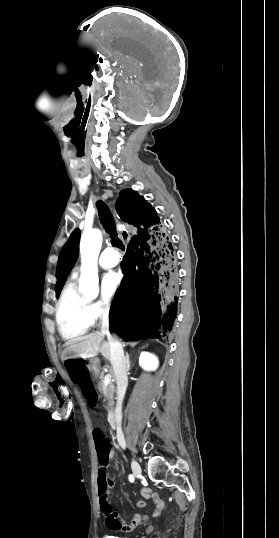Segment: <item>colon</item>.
Wrapping results in <instances>:
<instances>
[{"instance_id":"1","label":"colon","mask_w":279,"mask_h":538,"mask_svg":"<svg viewBox=\"0 0 279 538\" xmlns=\"http://www.w3.org/2000/svg\"><path fill=\"white\" fill-rule=\"evenodd\" d=\"M93 439L98 457V492L100 505L105 517H110L114 513L108 497L107 480V465L110 459L111 446L102 430H94Z\"/></svg>"}]
</instances>
